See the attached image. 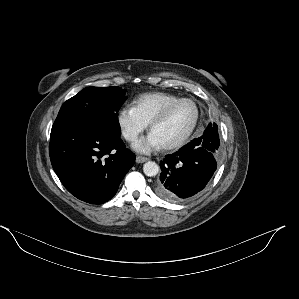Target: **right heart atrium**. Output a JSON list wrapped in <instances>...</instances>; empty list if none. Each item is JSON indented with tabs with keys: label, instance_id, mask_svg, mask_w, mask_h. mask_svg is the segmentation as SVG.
Masks as SVG:
<instances>
[{
	"label": "right heart atrium",
	"instance_id": "right-heart-atrium-1",
	"mask_svg": "<svg viewBox=\"0 0 299 299\" xmlns=\"http://www.w3.org/2000/svg\"><path fill=\"white\" fill-rule=\"evenodd\" d=\"M116 122L122 137L130 143L135 142L147 128V124L132 107L121 108L117 113Z\"/></svg>",
	"mask_w": 299,
	"mask_h": 299
}]
</instances>
